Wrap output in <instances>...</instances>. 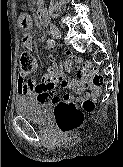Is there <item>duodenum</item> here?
Segmentation results:
<instances>
[{
    "mask_svg": "<svg viewBox=\"0 0 123 167\" xmlns=\"http://www.w3.org/2000/svg\"><path fill=\"white\" fill-rule=\"evenodd\" d=\"M38 1L41 2V0H38ZM38 19H39L40 25L45 26L47 24V12L42 7L38 9Z\"/></svg>",
    "mask_w": 123,
    "mask_h": 167,
    "instance_id": "1",
    "label": "duodenum"
}]
</instances>
